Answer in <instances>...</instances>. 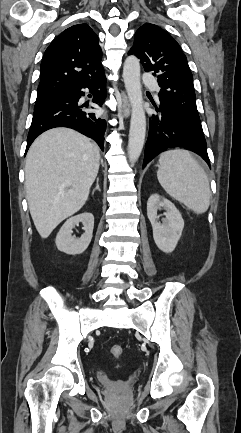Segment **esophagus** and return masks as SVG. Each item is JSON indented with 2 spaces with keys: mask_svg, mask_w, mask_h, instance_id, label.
<instances>
[{
  "mask_svg": "<svg viewBox=\"0 0 241 433\" xmlns=\"http://www.w3.org/2000/svg\"><path fill=\"white\" fill-rule=\"evenodd\" d=\"M121 96H122V98H121L122 114L125 118H127L130 115V103H129L127 95L124 92H122Z\"/></svg>",
  "mask_w": 241,
  "mask_h": 433,
  "instance_id": "1",
  "label": "esophagus"
}]
</instances>
